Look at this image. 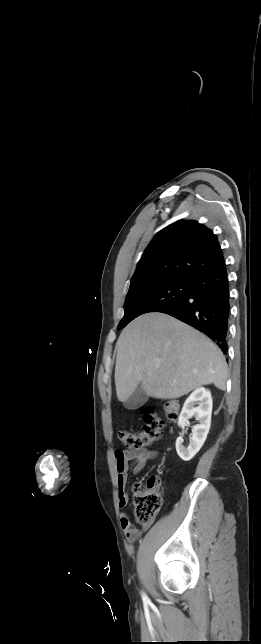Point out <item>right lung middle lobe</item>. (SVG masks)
I'll return each mask as SVG.
<instances>
[{
	"label": "right lung middle lobe",
	"instance_id": "right-lung-middle-lobe-1",
	"mask_svg": "<svg viewBox=\"0 0 261 644\" xmlns=\"http://www.w3.org/2000/svg\"><path fill=\"white\" fill-rule=\"evenodd\" d=\"M190 289V280L168 278L130 288L126 297L125 315L118 330L130 321L148 312H159L181 301Z\"/></svg>",
	"mask_w": 261,
	"mask_h": 644
}]
</instances>
